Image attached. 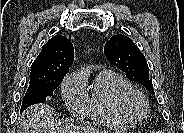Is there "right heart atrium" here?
<instances>
[{"label": "right heart atrium", "instance_id": "obj_1", "mask_svg": "<svg viewBox=\"0 0 184 133\" xmlns=\"http://www.w3.org/2000/svg\"><path fill=\"white\" fill-rule=\"evenodd\" d=\"M63 100L75 117H82L87 110L88 91L82 73L76 72L67 76L61 86Z\"/></svg>", "mask_w": 184, "mask_h": 133}]
</instances>
